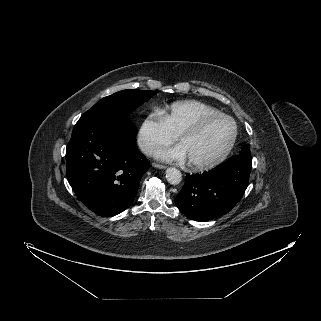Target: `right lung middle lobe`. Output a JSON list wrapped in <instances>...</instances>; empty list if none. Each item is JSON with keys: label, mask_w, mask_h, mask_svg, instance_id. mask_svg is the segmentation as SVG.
Returning a JSON list of instances; mask_svg holds the SVG:
<instances>
[{"label": "right lung middle lobe", "mask_w": 321, "mask_h": 321, "mask_svg": "<svg viewBox=\"0 0 321 321\" xmlns=\"http://www.w3.org/2000/svg\"><path fill=\"white\" fill-rule=\"evenodd\" d=\"M156 94L157 93L154 91L132 89L116 92L110 96L104 97L91 109L86 111L75 124V127L92 125L112 119L127 120L126 116L131 111L136 109L139 105L149 100Z\"/></svg>", "instance_id": "obj_1"}]
</instances>
